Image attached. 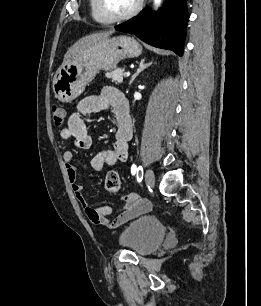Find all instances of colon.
I'll use <instances>...</instances> for the list:
<instances>
[{
	"label": "colon",
	"mask_w": 261,
	"mask_h": 306,
	"mask_svg": "<svg viewBox=\"0 0 261 306\" xmlns=\"http://www.w3.org/2000/svg\"><path fill=\"white\" fill-rule=\"evenodd\" d=\"M54 123L60 126L64 123L66 112L63 106L55 104L52 108ZM105 187L111 194H117L120 191V175L116 169L110 170L105 178Z\"/></svg>",
	"instance_id": "colon-1"
}]
</instances>
